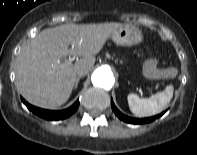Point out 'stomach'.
<instances>
[{
  "label": "stomach",
  "instance_id": "obj_1",
  "mask_svg": "<svg viewBox=\"0 0 197 155\" xmlns=\"http://www.w3.org/2000/svg\"><path fill=\"white\" fill-rule=\"evenodd\" d=\"M112 40L122 46H134L142 42L141 31L133 25H122L111 34Z\"/></svg>",
  "mask_w": 197,
  "mask_h": 155
}]
</instances>
